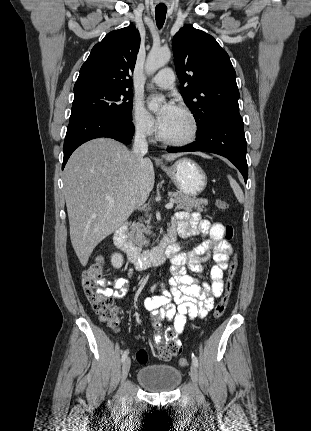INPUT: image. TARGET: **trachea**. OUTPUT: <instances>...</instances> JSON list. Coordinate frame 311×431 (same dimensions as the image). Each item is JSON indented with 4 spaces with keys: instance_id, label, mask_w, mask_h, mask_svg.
I'll use <instances>...</instances> for the list:
<instances>
[{
    "instance_id": "obj_1",
    "label": "trachea",
    "mask_w": 311,
    "mask_h": 431,
    "mask_svg": "<svg viewBox=\"0 0 311 431\" xmlns=\"http://www.w3.org/2000/svg\"><path fill=\"white\" fill-rule=\"evenodd\" d=\"M166 13H167L166 7L157 6L155 9V19H156L157 27L159 29L162 28V26L165 22Z\"/></svg>"
}]
</instances>
